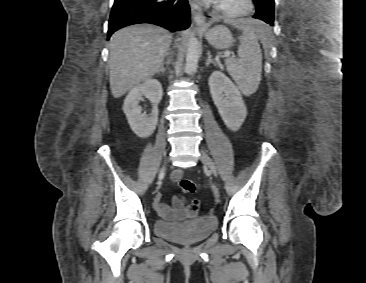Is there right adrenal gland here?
Returning a JSON list of instances; mask_svg holds the SVG:
<instances>
[{
  "label": "right adrenal gland",
  "instance_id": "right-adrenal-gland-1",
  "mask_svg": "<svg viewBox=\"0 0 366 283\" xmlns=\"http://www.w3.org/2000/svg\"><path fill=\"white\" fill-rule=\"evenodd\" d=\"M171 63V56H169V59L167 60V62H164L160 65L159 69L157 70V73L160 74H164L166 69L168 68V66L170 65ZM164 65H166V67H164Z\"/></svg>",
  "mask_w": 366,
  "mask_h": 283
}]
</instances>
